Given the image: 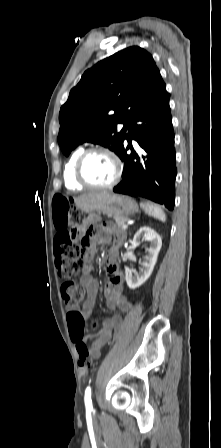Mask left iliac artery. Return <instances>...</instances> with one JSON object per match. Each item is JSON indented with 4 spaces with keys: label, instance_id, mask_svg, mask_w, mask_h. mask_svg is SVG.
I'll return each instance as SVG.
<instances>
[{
    "label": "left iliac artery",
    "instance_id": "44dca946",
    "mask_svg": "<svg viewBox=\"0 0 221 448\" xmlns=\"http://www.w3.org/2000/svg\"><path fill=\"white\" fill-rule=\"evenodd\" d=\"M85 406L87 410H92L93 406H92V400H91V388L88 386L85 390Z\"/></svg>",
    "mask_w": 221,
    "mask_h": 448
}]
</instances>
